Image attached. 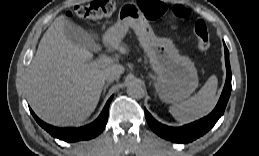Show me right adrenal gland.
Returning <instances> with one entry per match:
<instances>
[{"label": "right adrenal gland", "instance_id": "2a0ac1e0", "mask_svg": "<svg viewBox=\"0 0 259 156\" xmlns=\"http://www.w3.org/2000/svg\"><path fill=\"white\" fill-rule=\"evenodd\" d=\"M112 82H108L105 84L104 88H103V95L106 93V90L107 88L109 87V85L111 84Z\"/></svg>", "mask_w": 259, "mask_h": 156}]
</instances>
